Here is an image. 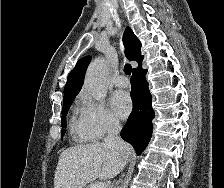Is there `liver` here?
<instances>
[{
	"mask_svg": "<svg viewBox=\"0 0 224 188\" xmlns=\"http://www.w3.org/2000/svg\"><path fill=\"white\" fill-rule=\"evenodd\" d=\"M128 149L130 153L129 145ZM127 159L120 149L100 142L70 147L59 156L54 188H84L97 178L111 179L120 173Z\"/></svg>",
	"mask_w": 224,
	"mask_h": 188,
	"instance_id": "1",
	"label": "liver"
}]
</instances>
